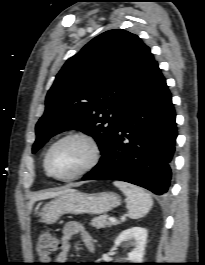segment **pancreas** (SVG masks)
<instances>
[{"instance_id":"pancreas-1","label":"pancreas","mask_w":205,"mask_h":265,"mask_svg":"<svg viewBox=\"0 0 205 265\" xmlns=\"http://www.w3.org/2000/svg\"><path fill=\"white\" fill-rule=\"evenodd\" d=\"M111 224L112 223L108 221L107 215H100L91 220V225L97 229L104 228L105 226H111Z\"/></svg>"}]
</instances>
